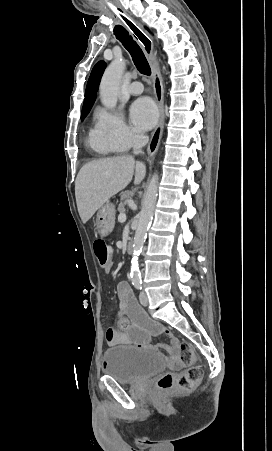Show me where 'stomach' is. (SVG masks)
<instances>
[{"label": "stomach", "instance_id": "1", "mask_svg": "<svg viewBox=\"0 0 272 451\" xmlns=\"http://www.w3.org/2000/svg\"><path fill=\"white\" fill-rule=\"evenodd\" d=\"M115 226V206L106 202L104 206H101L100 210L97 212L96 216V233L105 237L111 233L113 227Z\"/></svg>", "mask_w": 272, "mask_h": 451}]
</instances>
